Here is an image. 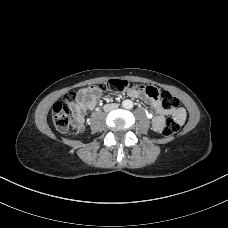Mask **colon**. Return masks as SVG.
Instances as JSON below:
<instances>
[{
  "label": "colon",
  "instance_id": "colon-1",
  "mask_svg": "<svg viewBox=\"0 0 228 228\" xmlns=\"http://www.w3.org/2000/svg\"><path fill=\"white\" fill-rule=\"evenodd\" d=\"M96 87L100 90L135 89L140 93L146 95L147 97L159 98L165 110L176 111L178 107V99L170 92L159 91L157 88L153 86L137 85L126 79H111L107 83ZM72 96H73L72 94L68 96V99H67L68 105L63 104L61 102H56L52 107V120L55 127L59 131H66L70 126L71 108L69 104L72 103V100H71ZM179 127L180 126L178 121L173 117H169L162 129V133L166 137L172 136L178 132Z\"/></svg>",
  "mask_w": 228,
  "mask_h": 228
}]
</instances>
